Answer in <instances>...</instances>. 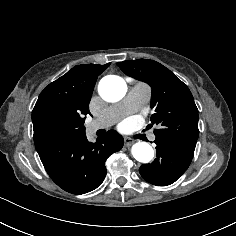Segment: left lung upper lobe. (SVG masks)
Instances as JSON below:
<instances>
[{
	"instance_id": "obj_1",
	"label": "left lung upper lobe",
	"mask_w": 236,
	"mask_h": 236,
	"mask_svg": "<svg viewBox=\"0 0 236 236\" xmlns=\"http://www.w3.org/2000/svg\"><path fill=\"white\" fill-rule=\"evenodd\" d=\"M120 69L137 80L148 83L152 88L151 107H156L151 116L158 138L169 137L196 144L198 109L188 87L162 64L148 59L118 62Z\"/></svg>"
}]
</instances>
